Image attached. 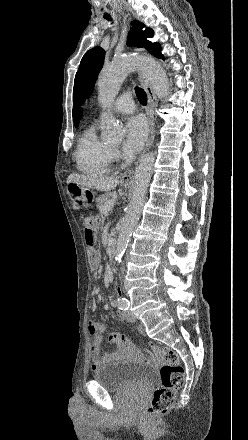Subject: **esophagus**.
<instances>
[{"label":"esophagus","instance_id":"34e87169","mask_svg":"<svg viewBox=\"0 0 248 440\" xmlns=\"http://www.w3.org/2000/svg\"><path fill=\"white\" fill-rule=\"evenodd\" d=\"M138 78H139V81L148 96L147 115H148V124H149V135H148L147 142H146V145H145V148L143 151V153H145L150 148V146L153 142V139H154L155 120L153 117V112H154V108L156 107V104H157V99H156V95L154 93V90H153L151 83L147 79H145L141 74H138ZM137 163H138V161L135 163V165H137ZM133 172H134L133 168L127 170L122 175V179L129 180L133 176Z\"/></svg>","mask_w":248,"mask_h":440}]
</instances>
